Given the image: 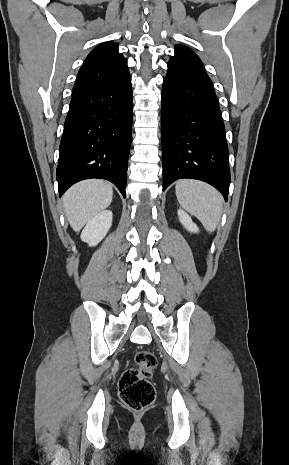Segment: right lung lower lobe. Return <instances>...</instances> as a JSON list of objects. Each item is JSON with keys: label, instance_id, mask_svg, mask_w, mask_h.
<instances>
[{"label": "right lung lower lobe", "instance_id": "98d812e1", "mask_svg": "<svg viewBox=\"0 0 289 465\" xmlns=\"http://www.w3.org/2000/svg\"><path fill=\"white\" fill-rule=\"evenodd\" d=\"M132 106L130 75L115 86L72 98L60 142L59 196L78 181L101 178L126 197Z\"/></svg>", "mask_w": 289, "mask_h": 465}]
</instances>
